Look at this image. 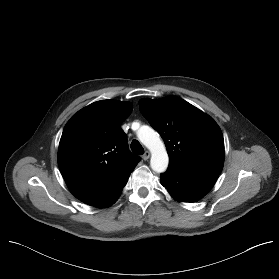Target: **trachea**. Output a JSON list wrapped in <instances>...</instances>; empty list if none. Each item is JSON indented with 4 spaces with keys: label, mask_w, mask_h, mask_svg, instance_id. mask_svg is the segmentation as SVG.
<instances>
[{
    "label": "trachea",
    "mask_w": 279,
    "mask_h": 279,
    "mask_svg": "<svg viewBox=\"0 0 279 279\" xmlns=\"http://www.w3.org/2000/svg\"><path fill=\"white\" fill-rule=\"evenodd\" d=\"M131 150L134 154L142 155L144 154V149L137 140H133L131 143Z\"/></svg>",
    "instance_id": "trachea-1"
}]
</instances>
